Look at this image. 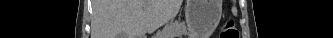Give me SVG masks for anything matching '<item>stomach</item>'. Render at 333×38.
Listing matches in <instances>:
<instances>
[{
	"label": "stomach",
	"mask_w": 333,
	"mask_h": 38,
	"mask_svg": "<svg viewBox=\"0 0 333 38\" xmlns=\"http://www.w3.org/2000/svg\"><path fill=\"white\" fill-rule=\"evenodd\" d=\"M195 1L194 0H188L187 3V11H186V21L187 25L190 29H192L195 25Z\"/></svg>",
	"instance_id": "obj_1"
}]
</instances>
